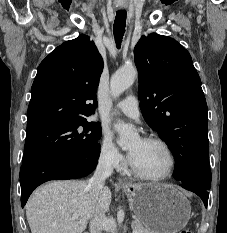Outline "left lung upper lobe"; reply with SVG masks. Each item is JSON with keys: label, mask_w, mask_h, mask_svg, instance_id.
Segmentation results:
<instances>
[{"label": "left lung upper lobe", "mask_w": 227, "mask_h": 233, "mask_svg": "<svg viewBox=\"0 0 227 233\" xmlns=\"http://www.w3.org/2000/svg\"><path fill=\"white\" fill-rule=\"evenodd\" d=\"M141 110L176 159L181 183L210 190L207 104L189 52L176 40L150 34L134 49Z\"/></svg>", "instance_id": "1"}]
</instances>
